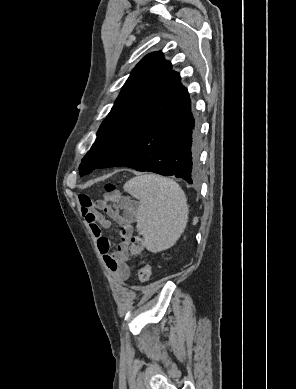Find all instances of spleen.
<instances>
[{
	"mask_svg": "<svg viewBox=\"0 0 296 389\" xmlns=\"http://www.w3.org/2000/svg\"><path fill=\"white\" fill-rule=\"evenodd\" d=\"M124 190L140 202L136 228L146 249L157 253L173 246L188 221L187 199L180 186L172 179L145 174L127 181Z\"/></svg>",
	"mask_w": 296,
	"mask_h": 389,
	"instance_id": "obj_1",
	"label": "spleen"
}]
</instances>
